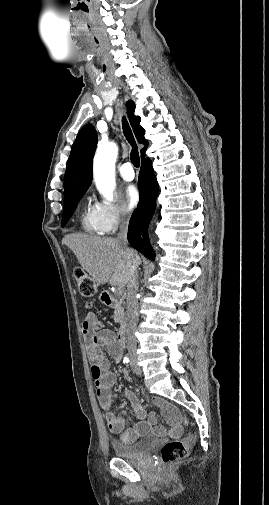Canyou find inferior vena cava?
Listing matches in <instances>:
<instances>
[{"label": "inferior vena cava", "mask_w": 269, "mask_h": 505, "mask_svg": "<svg viewBox=\"0 0 269 505\" xmlns=\"http://www.w3.org/2000/svg\"><path fill=\"white\" fill-rule=\"evenodd\" d=\"M127 231H128V219L123 217L120 221V231L118 233L117 240L123 246L124 249L128 250L127 241ZM138 264H134L132 267V277L127 284V349L129 352H134L136 350L137 340L135 337V331L137 323L139 320L138 311V300L136 298L138 286Z\"/></svg>", "instance_id": "obj_1"}]
</instances>
